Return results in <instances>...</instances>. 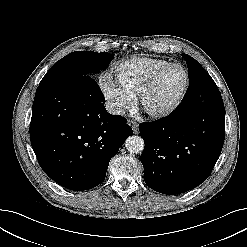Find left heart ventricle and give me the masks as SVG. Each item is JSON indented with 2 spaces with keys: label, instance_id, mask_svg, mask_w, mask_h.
I'll use <instances>...</instances> for the list:
<instances>
[{
  "label": "left heart ventricle",
  "instance_id": "obj_1",
  "mask_svg": "<svg viewBox=\"0 0 247 247\" xmlns=\"http://www.w3.org/2000/svg\"><path fill=\"white\" fill-rule=\"evenodd\" d=\"M185 76L178 68H170L164 72L147 94L144 104L148 109L158 110L171 104L184 86Z\"/></svg>",
  "mask_w": 247,
  "mask_h": 247
}]
</instances>
